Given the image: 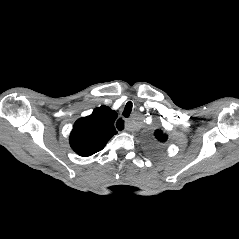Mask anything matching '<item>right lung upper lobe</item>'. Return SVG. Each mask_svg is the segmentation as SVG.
<instances>
[{"label": "right lung upper lobe", "instance_id": "obj_1", "mask_svg": "<svg viewBox=\"0 0 239 239\" xmlns=\"http://www.w3.org/2000/svg\"><path fill=\"white\" fill-rule=\"evenodd\" d=\"M116 118L117 113L103 105L94 109L91 115L77 120L70 134L73 150L80 156H91L102 150L117 133Z\"/></svg>", "mask_w": 239, "mask_h": 239}]
</instances>
